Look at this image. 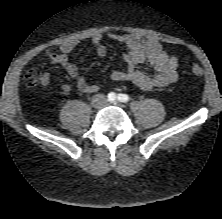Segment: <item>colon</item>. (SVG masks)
Returning a JSON list of instances; mask_svg holds the SVG:
<instances>
[{"mask_svg": "<svg viewBox=\"0 0 222 219\" xmlns=\"http://www.w3.org/2000/svg\"><path fill=\"white\" fill-rule=\"evenodd\" d=\"M190 72L198 78H201L203 76V73H204L202 67L197 65V64H191L190 65ZM25 81H26V84L30 87L37 86L40 82V72H39V70L36 69V68L29 69L26 72Z\"/></svg>", "mask_w": 222, "mask_h": 219, "instance_id": "5ec220e1", "label": "colon"}]
</instances>
